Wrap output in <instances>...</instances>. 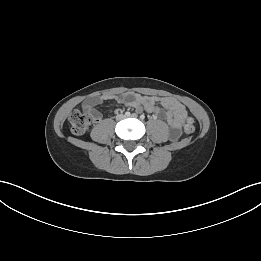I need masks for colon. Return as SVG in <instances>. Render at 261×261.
Instances as JSON below:
<instances>
[{
  "instance_id": "colon-1",
  "label": "colon",
  "mask_w": 261,
  "mask_h": 261,
  "mask_svg": "<svg viewBox=\"0 0 261 261\" xmlns=\"http://www.w3.org/2000/svg\"><path fill=\"white\" fill-rule=\"evenodd\" d=\"M94 121L93 116L87 112H81L75 110L69 117V124L71 131L76 135L83 134ZM194 119L192 117H187L184 122V130L186 133L190 134L194 131Z\"/></svg>"
}]
</instances>
